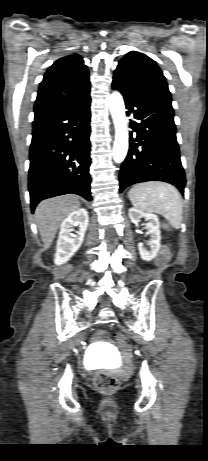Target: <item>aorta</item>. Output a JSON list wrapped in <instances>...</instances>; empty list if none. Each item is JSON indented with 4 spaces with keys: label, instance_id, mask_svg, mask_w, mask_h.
Wrapping results in <instances>:
<instances>
[{
    "label": "aorta",
    "instance_id": "aorta-1",
    "mask_svg": "<svg viewBox=\"0 0 208 461\" xmlns=\"http://www.w3.org/2000/svg\"><path fill=\"white\" fill-rule=\"evenodd\" d=\"M109 108L115 127V141L113 146V159L121 163L128 151V130L125 116V105L122 95L113 92L109 97Z\"/></svg>",
    "mask_w": 208,
    "mask_h": 461
}]
</instances>
